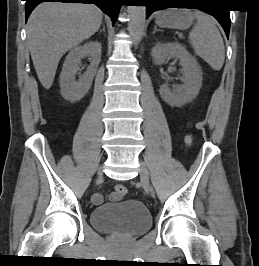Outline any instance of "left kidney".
I'll return each instance as SVG.
<instances>
[{
	"instance_id": "5707ae66",
	"label": "left kidney",
	"mask_w": 259,
	"mask_h": 266,
	"mask_svg": "<svg viewBox=\"0 0 259 266\" xmlns=\"http://www.w3.org/2000/svg\"><path fill=\"white\" fill-rule=\"evenodd\" d=\"M151 55L156 65L163 64L167 59L176 58L182 66L184 84L175 91H171L167 84H163L159 89L160 96L166 103L180 107L198 95L202 85V71L195 57L184 46L176 42L157 43Z\"/></svg>"
}]
</instances>
